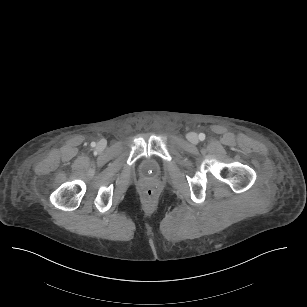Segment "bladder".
Masks as SVG:
<instances>
[{
	"label": "bladder",
	"instance_id": "1",
	"mask_svg": "<svg viewBox=\"0 0 307 307\" xmlns=\"http://www.w3.org/2000/svg\"><path fill=\"white\" fill-rule=\"evenodd\" d=\"M151 165H152V167H153L154 169H156V168L158 167L156 163H151Z\"/></svg>",
	"mask_w": 307,
	"mask_h": 307
}]
</instances>
